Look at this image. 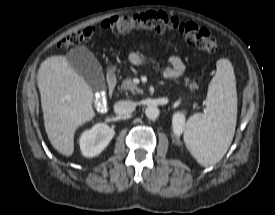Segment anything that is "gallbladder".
<instances>
[{
  "mask_svg": "<svg viewBox=\"0 0 275 215\" xmlns=\"http://www.w3.org/2000/svg\"><path fill=\"white\" fill-rule=\"evenodd\" d=\"M66 58L92 90L101 91L106 88L102 67L89 49L84 46L71 49Z\"/></svg>",
  "mask_w": 275,
  "mask_h": 215,
  "instance_id": "bac80fb5",
  "label": "gallbladder"
}]
</instances>
